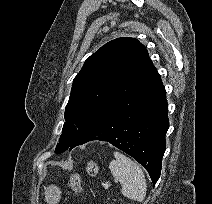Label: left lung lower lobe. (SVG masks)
Listing matches in <instances>:
<instances>
[{"label":"left lung lower lobe","instance_id":"0a47b994","mask_svg":"<svg viewBox=\"0 0 212 204\" xmlns=\"http://www.w3.org/2000/svg\"><path fill=\"white\" fill-rule=\"evenodd\" d=\"M165 95L156 71L83 132L74 147L92 140L107 141L143 165L155 185L161 172L169 127Z\"/></svg>","mask_w":212,"mask_h":204}]
</instances>
